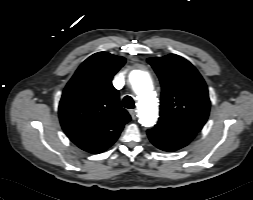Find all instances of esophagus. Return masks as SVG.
<instances>
[{
  "mask_svg": "<svg viewBox=\"0 0 253 200\" xmlns=\"http://www.w3.org/2000/svg\"><path fill=\"white\" fill-rule=\"evenodd\" d=\"M129 113H130L131 118L133 120H135L137 118V114H136V111L134 109L130 110Z\"/></svg>",
  "mask_w": 253,
  "mask_h": 200,
  "instance_id": "esophagus-1",
  "label": "esophagus"
}]
</instances>
